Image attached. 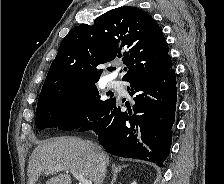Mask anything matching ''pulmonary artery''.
Returning <instances> with one entry per match:
<instances>
[{"mask_svg": "<svg viewBox=\"0 0 224 184\" xmlns=\"http://www.w3.org/2000/svg\"><path fill=\"white\" fill-rule=\"evenodd\" d=\"M108 85L114 90H121L123 88L122 84L117 80H110Z\"/></svg>", "mask_w": 224, "mask_h": 184, "instance_id": "pulmonary-artery-1", "label": "pulmonary artery"}]
</instances>
